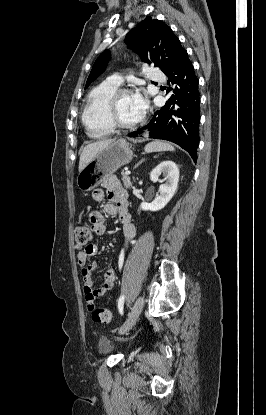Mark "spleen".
Masks as SVG:
<instances>
[{
    "mask_svg": "<svg viewBox=\"0 0 266 415\" xmlns=\"http://www.w3.org/2000/svg\"><path fill=\"white\" fill-rule=\"evenodd\" d=\"M174 147L166 142H161V141H154L151 143H148L145 146V151L147 153H151V152H163V151H174Z\"/></svg>",
    "mask_w": 266,
    "mask_h": 415,
    "instance_id": "obj_1",
    "label": "spleen"
}]
</instances>
